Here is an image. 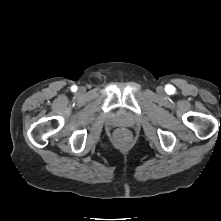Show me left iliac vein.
Here are the masks:
<instances>
[{"label":"left iliac vein","mask_w":221,"mask_h":221,"mask_svg":"<svg viewBox=\"0 0 221 221\" xmlns=\"http://www.w3.org/2000/svg\"><path fill=\"white\" fill-rule=\"evenodd\" d=\"M158 92L162 93L163 92V88L162 87H158Z\"/></svg>","instance_id":"obj_1"}]
</instances>
